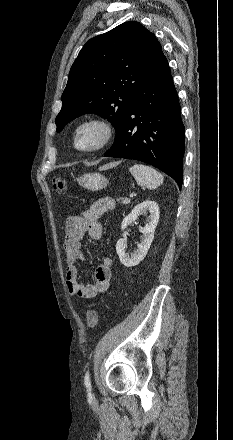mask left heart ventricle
<instances>
[{
	"label": "left heart ventricle",
	"mask_w": 233,
	"mask_h": 440,
	"mask_svg": "<svg viewBox=\"0 0 233 440\" xmlns=\"http://www.w3.org/2000/svg\"><path fill=\"white\" fill-rule=\"evenodd\" d=\"M102 138V131L96 126L84 127L78 135V144L82 148L96 146Z\"/></svg>",
	"instance_id": "obj_1"
}]
</instances>
